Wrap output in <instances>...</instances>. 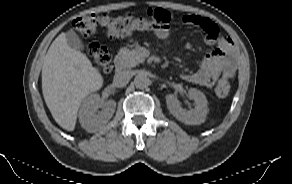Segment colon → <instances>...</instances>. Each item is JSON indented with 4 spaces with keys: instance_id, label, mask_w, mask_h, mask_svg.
Wrapping results in <instances>:
<instances>
[{
    "instance_id": "1",
    "label": "colon",
    "mask_w": 292,
    "mask_h": 184,
    "mask_svg": "<svg viewBox=\"0 0 292 184\" xmlns=\"http://www.w3.org/2000/svg\"><path fill=\"white\" fill-rule=\"evenodd\" d=\"M171 15L166 10H149L146 16L125 14L111 17L108 15L88 14L80 16L73 21V26L82 36L88 37L99 30L113 38H119L137 31L159 32L167 27ZM88 52L98 67L105 73L111 71V55L106 47L92 43L88 46ZM216 95L226 98L230 92L227 79L221 78L216 87Z\"/></svg>"
}]
</instances>
